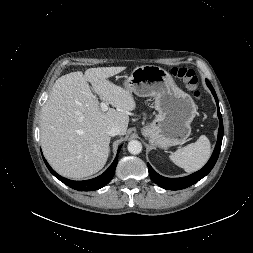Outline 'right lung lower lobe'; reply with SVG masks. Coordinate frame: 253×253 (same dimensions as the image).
Returning a JSON list of instances; mask_svg holds the SVG:
<instances>
[{
  "instance_id": "right-lung-lower-lobe-1",
  "label": "right lung lower lobe",
  "mask_w": 253,
  "mask_h": 253,
  "mask_svg": "<svg viewBox=\"0 0 253 253\" xmlns=\"http://www.w3.org/2000/svg\"><path fill=\"white\" fill-rule=\"evenodd\" d=\"M121 146L118 149V153L120 151ZM44 159V162L46 164V166L48 167L49 171L57 178L59 179L61 182H63L64 184H66L67 186L76 189L78 191H93V190H97L102 188L103 186H105L107 183L110 182V180L112 179L114 173H115V168L117 166V162H118V155L115 157L113 163L109 166V168L100 176L90 179V180H85V181H72L69 179H66L64 177H61L60 175H58L47 163V161Z\"/></svg>"
}]
</instances>
